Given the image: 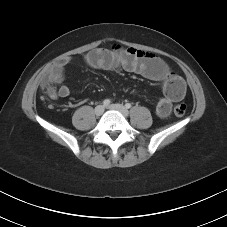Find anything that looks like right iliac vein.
<instances>
[{
	"mask_svg": "<svg viewBox=\"0 0 227 227\" xmlns=\"http://www.w3.org/2000/svg\"><path fill=\"white\" fill-rule=\"evenodd\" d=\"M104 109H105V108H104L103 105H98V106L95 107L94 112H95V114H96L97 116H100V115L103 114Z\"/></svg>",
	"mask_w": 227,
	"mask_h": 227,
	"instance_id": "obj_1",
	"label": "right iliac vein"
}]
</instances>
